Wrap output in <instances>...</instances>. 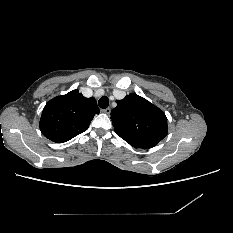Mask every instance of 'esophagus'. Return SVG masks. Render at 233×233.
<instances>
[{
	"label": "esophagus",
	"instance_id": "esophagus-1",
	"mask_svg": "<svg viewBox=\"0 0 233 233\" xmlns=\"http://www.w3.org/2000/svg\"><path fill=\"white\" fill-rule=\"evenodd\" d=\"M102 112L105 113V114H107V115H109L110 112H111V109L110 108H106V109H103Z\"/></svg>",
	"mask_w": 233,
	"mask_h": 233
}]
</instances>
